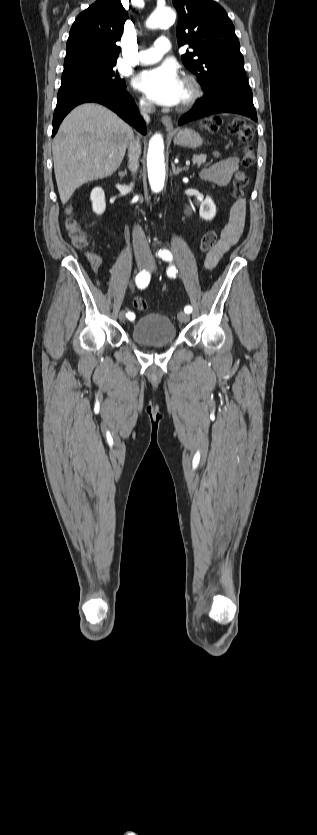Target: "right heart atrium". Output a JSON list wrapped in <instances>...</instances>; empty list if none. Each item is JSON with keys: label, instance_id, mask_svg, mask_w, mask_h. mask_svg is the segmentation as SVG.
<instances>
[{"label": "right heart atrium", "instance_id": "obj_1", "mask_svg": "<svg viewBox=\"0 0 317 835\" xmlns=\"http://www.w3.org/2000/svg\"><path fill=\"white\" fill-rule=\"evenodd\" d=\"M138 106L142 111H150L152 108L151 103L144 97H139L138 99Z\"/></svg>", "mask_w": 317, "mask_h": 835}]
</instances>
